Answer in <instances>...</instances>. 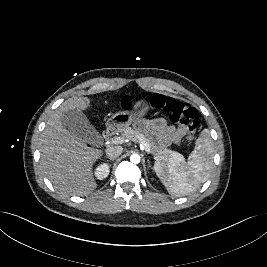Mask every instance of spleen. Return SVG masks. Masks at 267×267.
<instances>
[{
    "mask_svg": "<svg viewBox=\"0 0 267 267\" xmlns=\"http://www.w3.org/2000/svg\"><path fill=\"white\" fill-rule=\"evenodd\" d=\"M213 152L210 131L204 129L187 162L182 155L176 153L169 159L157 160L154 170L170 194L184 196L196 191L208 179Z\"/></svg>",
    "mask_w": 267,
    "mask_h": 267,
    "instance_id": "3e777b00",
    "label": "spleen"
}]
</instances>
